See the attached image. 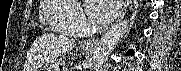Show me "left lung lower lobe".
I'll list each match as a JSON object with an SVG mask.
<instances>
[{
	"mask_svg": "<svg viewBox=\"0 0 181 71\" xmlns=\"http://www.w3.org/2000/svg\"><path fill=\"white\" fill-rule=\"evenodd\" d=\"M133 50H128L127 54H133Z\"/></svg>",
	"mask_w": 181,
	"mask_h": 71,
	"instance_id": "1",
	"label": "left lung lower lobe"
}]
</instances>
